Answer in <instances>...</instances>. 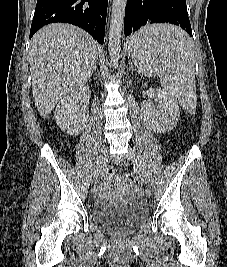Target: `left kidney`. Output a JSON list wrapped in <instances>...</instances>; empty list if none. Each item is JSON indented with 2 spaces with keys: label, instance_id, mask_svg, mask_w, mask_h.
I'll use <instances>...</instances> for the list:
<instances>
[{
  "label": "left kidney",
  "instance_id": "obj_1",
  "mask_svg": "<svg viewBox=\"0 0 227 267\" xmlns=\"http://www.w3.org/2000/svg\"><path fill=\"white\" fill-rule=\"evenodd\" d=\"M146 86V84H144ZM156 98L159 100L157 108L143 104L146 108V122L148 127L156 133L171 131L179 119V107L175 99L164 89L156 90Z\"/></svg>",
  "mask_w": 227,
  "mask_h": 267
}]
</instances>
